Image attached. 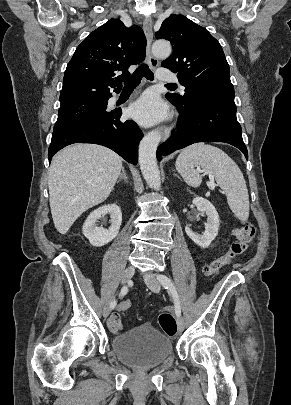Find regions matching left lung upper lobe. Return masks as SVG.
Returning <instances> with one entry per match:
<instances>
[{"label":"left lung upper lobe","instance_id":"obj_1","mask_svg":"<svg viewBox=\"0 0 291 405\" xmlns=\"http://www.w3.org/2000/svg\"><path fill=\"white\" fill-rule=\"evenodd\" d=\"M157 39L171 42L173 53L162 66L173 72L185 87V94L167 93L166 97L183 103L198 90H233L230 69L219 42L204 28L183 15H170L155 33Z\"/></svg>","mask_w":291,"mask_h":405}]
</instances>
